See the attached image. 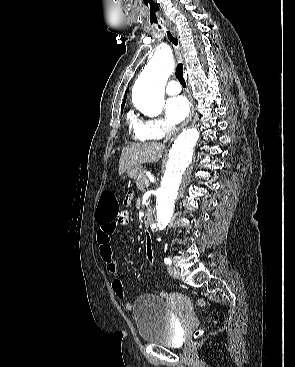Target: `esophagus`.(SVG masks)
Masks as SVG:
<instances>
[{
  "label": "esophagus",
  "instance_id": "obj_1",
  "mask_svg": "<svg viewBox=\"0 0 295 367\" xmlns=\"http://www.w3.org/2000/svg\"><path fill=\"white\" fill-rule=\"evenodd\" d=\"M170 30H171L172 34L174 35V37L178 40V58H179L180 61L183 62L184 61V54H183V47H182V44H181V39H180L179 33H178V31L175 27H171ZM193 114H194V105L191 104V109H190L189 115L184 120V122L178 127V129L175 133V136L180 132V130L183 127H185L192 120ZM173 139H174V137L172 138V140Z\"/></svg>",
  "mask_w": 295,
  "mask_h": 367
}]
</instances>
